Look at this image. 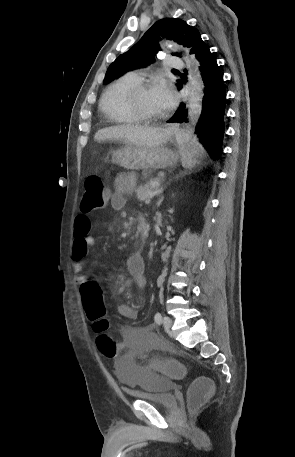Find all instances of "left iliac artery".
Here are the masks:
<instances>
[{"label":"left iliac artery","instance_id":"obj_1","mask_svg":"<svg viewBox=\"0 0 295 457\" xmlns=\"http://www.w3.org/2000/svg\"><path fill=\"white\" fill-rule=\"evenodd\" d=\"M154 320H155V322H156L157 324H161V322H162V315H161V313L157 312V313L155 314V316H154Z\"/></svg>","mask_w":295,"mask_h":457}]
</instances>
